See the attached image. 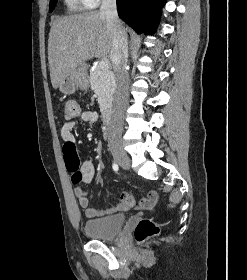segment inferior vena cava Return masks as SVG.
<instances>
[{
    "mask_svg": "<svg viewBox=\"0 0 247 280\" xmlns=\"http://www.w3.org/2000/svg\"><path fill=\"white\" fill-rule=\"evenodd\" d=\"M100 12L106 18L112 36L110 59L116 78V93L113 114L108 131L109 143L118 142L122 130L121 114L126 101L128 75L125 69L128 58L127 33L117 13L116 0H102Z\"/></svg>",
    "mask_w": 247,
    "mask_h": 280,
    "instance_id": "1",
    "label": "inferior vena cava"
}]
</instances>
